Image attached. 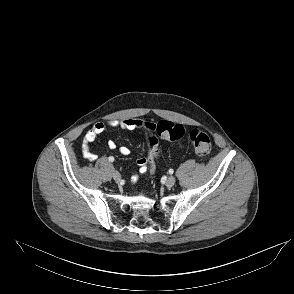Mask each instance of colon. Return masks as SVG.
<instances>
[{
	"label": "colon",
	"mask_w": 294,
	"mask_h": 294,
	"mask_svg": "<svg viewBox=\"0 0 294 294\" xmlns=\"http://www.w3.org/2000/svg\"><path fill=\"white\" fill-rule=\"evenodd\" d=\"M138 129L144 131L147 136V160L151 170H155L156 161L158 157V150L156 147L155 133L170 141L181 139L185 135V129L178 124L169 121H159L158 123L142 122ZM189 140L194 148L195 153L201 157L206 158L211 153V141L209 136L203 131L194 129L188 134Z\"/></svg>",
	"instance_id": "colon-1"
}]
</instances>
